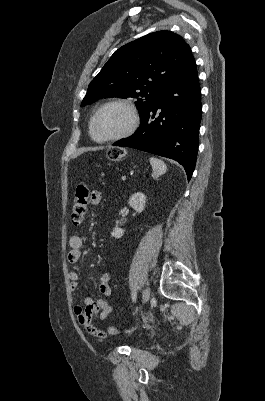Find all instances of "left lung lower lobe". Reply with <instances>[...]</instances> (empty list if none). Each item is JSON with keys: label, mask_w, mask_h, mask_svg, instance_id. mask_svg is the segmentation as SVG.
<instances>
[{"label": "left lung lower lobe", "mask_w": 265, "mask_h": 401, "mask_svg": "<svg viewBox=\"0 0 265 401\" xmlns=\"http://www.w3.org/2000/svg\"><path fill=\"white\" fill-rule=\"evenodd\" d=\"M160 109L158 113L157 110ZM157 115V117H155ZM202 116L201 89L194 57L143 114L130 137L115 142L179 162L191 179L198 151Z\"/></svg>", "instance_id": "1"}]
</instances>
